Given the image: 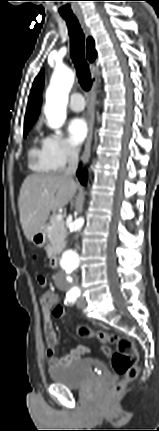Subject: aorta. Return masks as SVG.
I'll list each match as a JSON object with an SVG mask.
<instances>
[{"instance_id": "obj_1", "label": "aorta", "mask_w": 159, "mask_h": 431, "mask_svg": "<svg viewBox=\"0 0 159 431\" xmlns=\"http://www.w3.org/2000/svg\"><path fill=\"white\" fill-rule=\"evenodd\" d=\"M74 83V73L71 69L58 66L55 68L50 85L46 92L45 114L48 124L51 128L60 134L59 128L66 119V105L68 102V94ZM84 224V218L79 217L68 229V235L78 234ZM60 265L63 271V279L67 285H74V272L81 265L79 253L72 248L66 249L60 259Z\"/></svg>"}]
</instances>
